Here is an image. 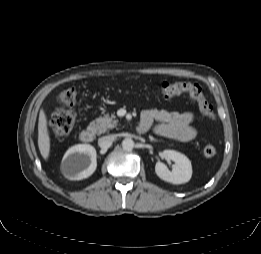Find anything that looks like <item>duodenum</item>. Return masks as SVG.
<instances>
[{"instance_id": "1", "label": "duodenum", "mask_w": 261, "mask_h": 254, "mask_svg": "<svg viewBox=\"0 0 261 254\" xmlns=\"http://www.w3.org/2000/svg\"><path fill=\"white\" fill-rule=\"evenodd\" d=\"M142 129H143L142 126H138V132H140V130ZM94 138H95V130L93 128H87L80 132V139L85 143L92 142Z\"/></svg>"}]
</instances>
